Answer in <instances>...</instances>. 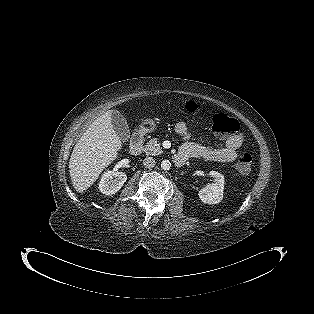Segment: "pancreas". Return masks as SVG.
Here are the masks:
<instances>
[{
	"label": "pancreas",
	"instance_id": "pancreas-1",
	"mask_svg": "<svg viewBox=\"0 0 314 314\" xmlns=\"http://www.w3.org/2000/svg\"><path fill=\"white\" fill-rule=\"evenodd\" d=\"M144 152L146 155L157 156L163 153V150L158 143L156 138L150 139V141L145 145Z\"/></svg>",
	"mask_w": 314,
	"mask_h": 314
}]
</instances>
